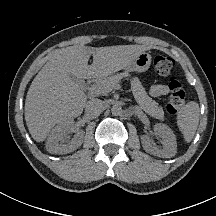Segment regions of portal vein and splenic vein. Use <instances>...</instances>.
<instances>
[{
    "label": "portal vein and splenic vein",
    "instance_id": "18ae733b",
    "mask_svg": "<svg viewBox=\"0 0 216 216\" xmlns=\"http://www.w3.org/2000/svg\"><path fill=\"white\" fill-rule=\"evenodd\" d=\"M115 89H120V86L119 85L116 86ZM89 92L94 93V94H101V93L104 92V90H103L102 87L95 85V86H92V87L89 88Z\"/></svg>",
    "mask_w": 216,
    "mask_h": 216
}]
</instances>
